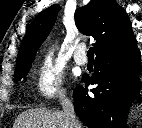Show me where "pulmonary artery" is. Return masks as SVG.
Segmentation results:
<instances>
[{
	"label": "pulmonary artery",
	"mask_w": 142,
	"mask_h": 128,
	"mask_svg": "<svg viewBox=\"0 0 142 128\" xmlns=\"http://www.w3.org/2000/svg\"><path fill=\"white\" fill-rule=\"evenodd\" d=\"M74 60L78 65L84 66L87 64L85 46L80 44L74 52Z\"/></svg>",
	"instance_id": "e3ab8cb5"
}]
</instances>
